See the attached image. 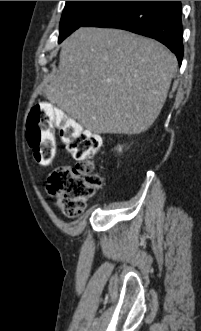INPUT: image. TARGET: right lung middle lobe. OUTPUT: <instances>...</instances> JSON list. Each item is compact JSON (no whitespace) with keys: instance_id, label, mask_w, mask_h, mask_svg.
Segmentation results:
<instances>
[{"instance_id":"obj_1","label":"right lung middle lobe","mask_w":201,"mask_h":331,"mask_svg":"<svg viewBox=\"0 0 201 331\" xmlns=\"http://www.w3.org/2000/svg\"><path fill=\"white\" fill-rule=\"evenodd\" d=\"M111 1H66L60 22L58 42H62L73 31L83 26Z\"/></svg>"}]
</instances>
